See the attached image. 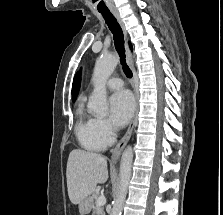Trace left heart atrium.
<instances>
[{"label":"left heart atrium","mask_w":223,"mask_h":215,"mask_svg":"<svg viewBox=\"0 0 223 215\" xmlns=\"http://www.w3.org/2000/svg\"><path fill=\"white\" fill-rule=\"evenodd\" d=\"M110 119L115 126H124L130 119L133 109L134 100L129 91H118L110 99Z\"/></svg>","instance_id":"obj_1"}]
</instances>
